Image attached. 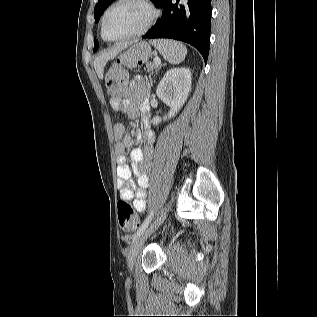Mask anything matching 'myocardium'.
<instances>
[{
	"label": "myocardium",
	"instance_id": "myocardium-1",
	"mask_svg": "<svg viewBox=\"0 0 317 317\" xmlns=\"http://www.w3.org/2000/svg\"><path fill=\"white\" fill-rule=\"evenodd\" d=\"M137 2L141 5H143L147 11H148V18L145 22V24L139 28L138 30L131 32L127 35H124L122 37L119 38H115V39H110L108 37H106L105 35V22H106V18L108 16V14L110 13V11L115 8L117 5H119L120 3L123 2ZM158 16V11L156 9V7L150 2V0H115L104 12L103 16H102V21H101V36L102 38L107 41V42H120V41H124L127 39H131L134 37H138L141 36L143 34H145L155 23L156 19Z\"/></svg>",
	"mask_w": 317,
	"mask_h": 317
}]
</instances>
